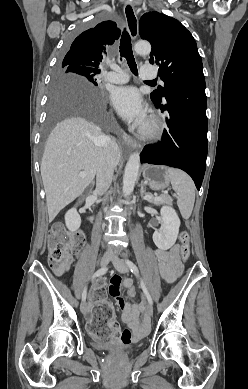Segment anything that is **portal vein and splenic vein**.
<instances>
[{
	"mask_svg": "<svg viewBox=\"0 0 248 389\" xmlns=\"http://www.w3.org/2000/svg\"><path fill=\"white\" fill-rule=\"evenodd\" d=\"M79 176L84 177V176H86V173L84 171H82V172L79 173ZM147 198L148 199H154V200H160L162 198V196H155V197L148 196Z\"/></svg>",
	"mask_w": 248,
	"mask_h": 389,
	"instance_id": "portal-vein-and-splenic-vein-1",
	"label": "portal vein and splenic vein"
}]
</instances>
